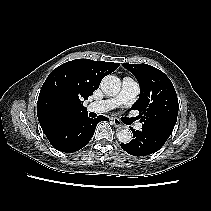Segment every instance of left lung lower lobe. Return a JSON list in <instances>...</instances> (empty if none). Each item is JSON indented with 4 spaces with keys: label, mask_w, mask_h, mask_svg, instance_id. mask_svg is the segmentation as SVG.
Here are the masks:
<instances>
[{
    "label": "left lung lower lobe",
    "mask_w": 211,
    "mask_h": 211,
    "mask_svg": "<svg viewBox=\"0 0 211 211\" xmlns=\"http://www.w3.org/2000/svg\"><path fill=\"white\" fill-rule=\"evenodd\" d=\"M133 140L127 144H121V148L133 156H146L157 152L164 145V141L146 131H134Z\"/></svg>",
    "instance_id": "0a47b994"
}]
</instances>
